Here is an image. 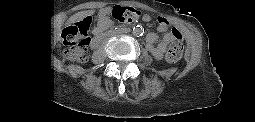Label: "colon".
I'll return each instance as SVG.
<instances>
[{"label": "colon", "mask_w": 255, "mask_h": 122, "mask_svg": "<svg viewBox=\"0 0 255 122\" xmlns=\"http://www.w3.org/2000/svg\"><path fill=\"white\" fill-rule=\"evenodd\" d=\"M112 17L120 23L129 24L137 21L141 13L133 8L117 7L112 10ZM88 18L81 22H77L72 30L66 35V42L69 46V56L72 59L83 61L86 58L85 39L87 36V22ZM174 36L177 38L167 52V60L170 62L179 61L184 53V47L181 42V36L176 29H172Z\"/></svg>", "instance_id": "obj_1"}]
</instances>
